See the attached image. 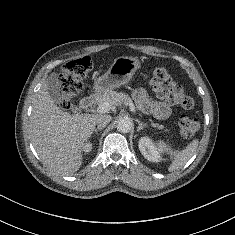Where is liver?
Returning a JSON list of instances; mask_svg holds the SVG:
<instances>
[{
  "mask_svg": "<svg viewBox=\"0 0 235 235\" xmlns=\"http://www.w3.org/2000/svg\"><path fill=\"white\" fill-rule=\"evenodd\" d=\"M98 115L61 110L48 92L45 81L33 103L30 132L40 159L51 170L70 175L82 164V151L96 125Z\"/></svg>",
  "mask_w": 235,
  "mask_h": 235,
  "instance_id": "liver-1",
  "label": "liver"
}]
</instances>
